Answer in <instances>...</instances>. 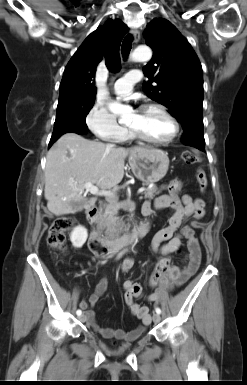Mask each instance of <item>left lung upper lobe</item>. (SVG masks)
Returning a JSON list of instances; mask_svg holds the SVG:
<instances>
[{"instance_id": "left-lung-upper-lobe-1", "label": "left lung upper lobe", "mask_w": 247, "mask_h": 385, "mask_svg": "<svg viewBox=\"0 0 247 385\" xmlns=\"http://www.w3.org/2000/svg\"><path fill=\"white\" fill-rule=\"evenodd\" d=\"M144 34L153 57L143 67L145 76L151 79L144 83L143 91L168 107L183 130L203 127L202 66L193 48L166 19H153Z\"/></svg>"}]
</instances>
